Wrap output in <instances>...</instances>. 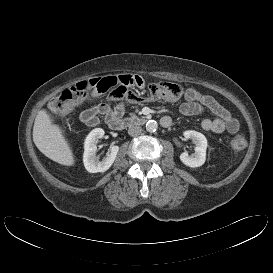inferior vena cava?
<instances>
[{
    "label": "inferior vena cava",
    "instance_id": "602c4592",
    "mask_svg": "<svg viewBox=\"0 0 273 273\" xmlns=\"http://www.w3.org/2000/svg\"><path fill=\"white\" fill-rule=\"evenodd\" d=\"M141 132H142V128L138 125H130L128 128V134L130 136L140 135Z\"/></svg>",
    "mask_w": 273,
    "mask_h": 273
}]
</instances>
